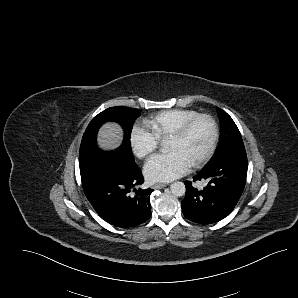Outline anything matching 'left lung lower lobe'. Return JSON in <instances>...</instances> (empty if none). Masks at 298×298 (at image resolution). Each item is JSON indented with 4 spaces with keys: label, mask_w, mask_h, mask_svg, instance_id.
Instances as JSON below:
<instances>
[{
    "label": "left lung lower lobe",
    "mask_w": 298,
    "mask_h": 298,
    "mask_svg": "<svg viewBox=\"0 0 298 298\" xmlns=\"http://www.w3.org/2000/svg\"><path fill=\"white\" fill-rule=\"evenodd\" d=\"M245 149L232 151L210 162L194 181H206L199 191L192 182L185 181L186 194L181 206L184 216L198 224H212L225 218L236 206L247 176Z\"/></svg>",
    "instance_id": "0a47b994"
}]
</instances>
